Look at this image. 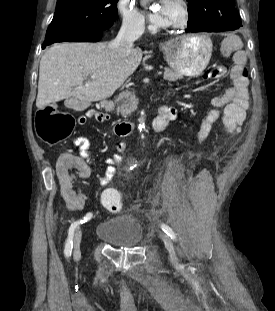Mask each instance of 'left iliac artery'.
I'll list each match as a JSON object with an SVG mask.
<instances>
[{"instance_id":"left-iliac-artery-1","label":"left iliac artery","mask_w":275,"mask_h":311,"mask_svg":"<svg viewBox=\"0 0 275 311\" xmlns=\"http://www.w3.org/2000/svg\"><path fill=\"white\" fill-rule=\"evenodd\" d=\"M161 228L168 236L171 237L172 240H176V235L174 231L171 229V227H169L166 224H161Z\"/></svg>"}]
</instances>
